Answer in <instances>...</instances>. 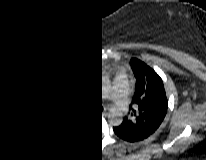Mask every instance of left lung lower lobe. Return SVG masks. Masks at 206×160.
Wrapping results in <instances>:
<instances>
[{"mask_svg": "<svg viewBox=\"0 0 206 160\" xmlns=\"http://www.w3.org/2000/svg\"><path fill=\"white\" fill-rule=\"evenodd\" d=\"M116 132L118 133L119 136H121L122 138L126 139V140H130V141H133V140H138V139H142V138H145L146 136H142V135H138L136 133H133L131 131H128L126 129H123V130H116Z\"/></svg>", "mask_w": 206, "mask_h": 160, "instance_id": "1", "label": "left lung lower lobe"}]
</instances>
